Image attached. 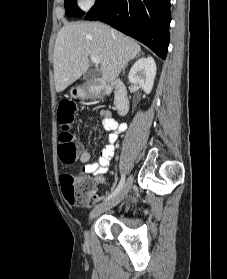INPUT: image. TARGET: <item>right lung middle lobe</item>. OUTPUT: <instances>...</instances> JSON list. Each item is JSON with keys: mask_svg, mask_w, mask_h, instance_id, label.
<instances>
[{"mask_svg": "<svg viewBox=\"0 0 227 279\" xmlns=\"http://www.w3.org/2000/svg\"><path fill=\"white\" fill-rule=\"evenodd\" d=\"M65 13L67 16L78 17L83 15V12L77 7L76 0H64Z\"/></svg>", "mask_w": 227, "mask_h": 279, "instance_id": "dd1d6c3e", "label": "right lung middle lobe"}]
</instances>
